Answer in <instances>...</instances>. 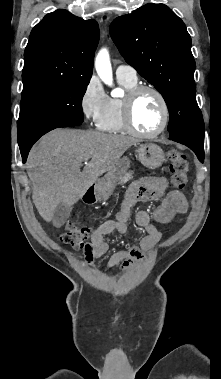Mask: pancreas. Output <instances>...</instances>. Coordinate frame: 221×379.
<instances>
[{"mask_svg": "<svg viewBox=\"0 0 221 379\" xmlns=\"http://www.w3.org/2000/svg\"><path fill=\"white\" fill-rule=\"evenodd\" d=\"M132 179V172H128L124 174L120 179H119V184H124L128 182L129 180Z\"/></svg>", "mask_w": 221, "mask_h": 379, "instance_id": "1", "label": "pancreas"}]
</instances>
